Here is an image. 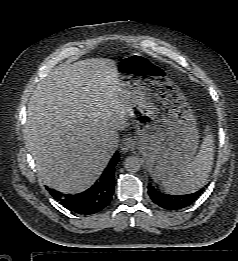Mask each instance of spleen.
Here are the masks:
<instances>
[{
  "mask_svg": "<svg viewBox=\"0 0 238 261\" xmlns=\"http://www.w3.org/2000/svg\"><path fill=\"white\" fill-rule=\"evenodd\" d=\"M206 132L199 153L187 167L174 178L162 182L161 185L166 192L170 194H190L206 184L214 159V138L209 127L206 128Z\"/></svg>",
  "mask_w": 238,
  "mask_h": 261,
  "instance_id": "spleen-1",
  "label": "spleen"
}]
</instances>
